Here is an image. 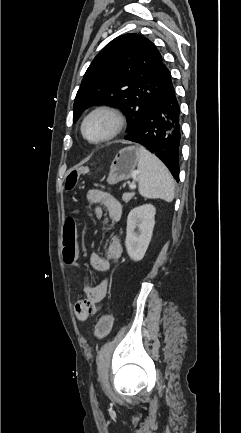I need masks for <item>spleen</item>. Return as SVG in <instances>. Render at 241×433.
<instances>
[{
    "mask_svg": "<svg viewBox=\"0 0 241 433\" xmlns=\"http://www.w3.org/2000/svg\"><path fill=\"white\" fill-rule=\"evenodd\" d=\"M137 177L139 193L147 199H162L172 202L175 182L167 167L147 149L140 146Z\"/></svg>",
    "mask_w": 241,
    "mask_h": 433,
    "instance_id": "spleen-1",
    "label": "spleen"
}]
</instances>
